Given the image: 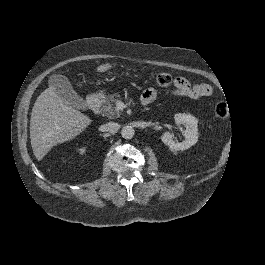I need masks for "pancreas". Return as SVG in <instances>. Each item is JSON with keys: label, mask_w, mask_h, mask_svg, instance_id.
Returning a JSON list of instances; mask_svg holds the SVG:
<instances>
[{"label": "pancreas", "mask_w": 265, "mask_h": 265, "mask_svg": "<svg viewBox=\"0 0 265 265\" xmlns=\"http://www.w3.org/2000/svg\"><path fill=\"white\" fill-rule=\"evenodd\" d=\"M119 97L120 95L118 93L105 96L101 108L104 116H107L110 119L118 118L120 116V112L115 107V104L119 101Z\"/></svg>", "instance_id": "cf45deb5"}]
</instances>
